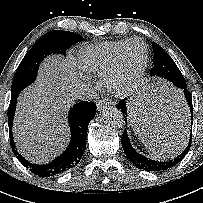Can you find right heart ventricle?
I'll list each match as a JSON object with an SVG mask.
<instances>
[{"instance_id":"obj_1","label":"right heart ventricle","mask_w":203,"mask_h":203,"mask_svg":"<svg viewBox=\"0 0 203 203\" xmlns=\"http://www.w3.org/2000/svg\"><path fill=\"white\" fill-rule=\"evenodd\" d=\"M128 41L125 39L85 47L79 54L82 70L87 74L106 76Z\"/></svg>"}]
</instances>
